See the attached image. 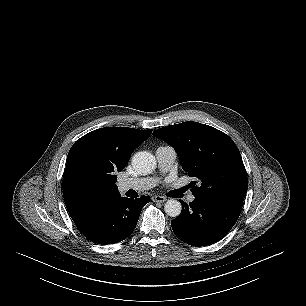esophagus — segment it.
I'll return each mask as SVG.
<instances>
[{"label":"esophagus","instance_id":"1","mask_svg":"<svg viewBox=\"0 0 306 306\" xmlns=\"http://www.w3.org/2000/svg\"><path fill=\"white\" fill-rule=\"evenodd\" d=\"M152 201L153 202H160V203H163L167 200V198L165 196H160V195H154L152 196Z\"/></svg>","mask_w":306,"mask_h":306}]
</instances>
